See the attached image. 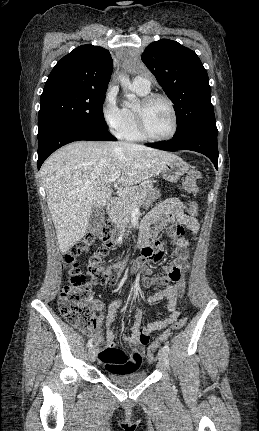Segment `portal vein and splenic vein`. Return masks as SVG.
Masks as SVG:
<instances>
[{
    "instance_id": "obj_1",
    "label": "portal vein and splenic vein",
    "mask_w": 259,
    "mask_h": 431,
    "mask_svg": "<svg viewBox=\"0 0 259 431\" xmlns=\"http://www.w3.org/2000/svg\"><path fill=\"white\" fill-rule=\"evenodd\" d=\"M120 176H121V172L120 171L115 172L113 175H111L109 178H107L105 180V183L106 184L112 183V182L116 181Z\"/></svg>"
}]
</instances>
